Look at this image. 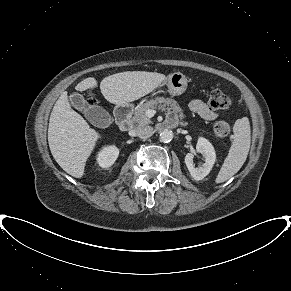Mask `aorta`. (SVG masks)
Instances as JSON below:
<instances>
[{"label":"aorta","instance_id":"obj_1","mask_svg":"<svg viewBox=\"0 0 291 291\" xmlns=\"http://www.w3.org/2000/svg\"><path fill=\"white\" fill-rule=\"evenodd\" d=\"M159 139L161 142H164V143L170 142L173 139L172 130H169V129L163 130L159 135Z\"/></svg>","mask_w":291,"mask_h":291}]
</instances>
